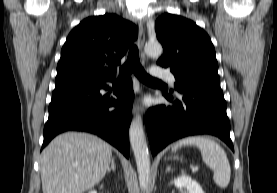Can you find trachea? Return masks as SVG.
<instances>
[{
	"instance_id": "3493384b",
	"label": "trachea",
	"mask_w": 277,
	"mask_h": 193,
	"mask_svg": "<svg viewBox=\"0 0 277 193\" xmlns=\"http://www.w3.org/2000/svg\"><path fill=\"white\" fill-rule=\"evenodd\" d=\"M134 73L136 77L145 83H161L160 80L149 76L144 68L141 66L139 59V51L136 45H133L129 51L126 63L119 69L118 80H122L131 73Z\"/></svg>"
}]
</instances>
